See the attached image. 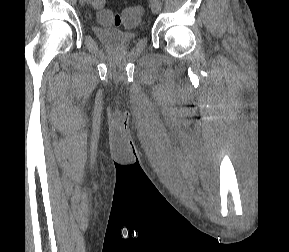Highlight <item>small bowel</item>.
Instances as JSON below:
<instances>
[{"mask_svg":"<svg viewBox=\"0 0 289 252\" xmlns=\"http://www.w3.org/2000/svg\"><path fill=\"white\" fill-rule=\"evenodd\" d=\"M94 4V0H92V5Z\"/></svg>","mask_w":289,"mask_h":252,"instance_id":"obj_1","label":"small bowel"}]
</instances>
